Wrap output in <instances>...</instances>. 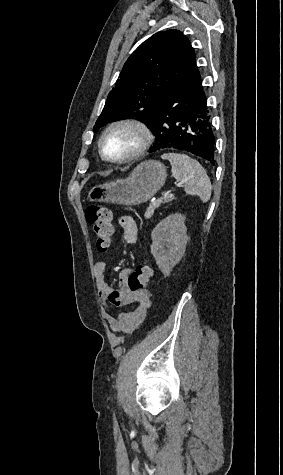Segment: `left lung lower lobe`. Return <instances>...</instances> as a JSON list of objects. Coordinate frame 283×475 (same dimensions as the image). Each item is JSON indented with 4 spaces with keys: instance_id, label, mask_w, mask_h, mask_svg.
Returning <instances> with one entry per match:
<instances>
[{
    "instance_id": "obj_1",
    "label": "left lung lower lobe",
    "mask_w": 283,
    "mask_h": 475,
    "mask_svg": "<svg viewBox=\"0 0 283 475\" xmlns=\"http://www.w3.org/2000/svg\"><path fill=\"white\" fill-rule=\"evenodd\" d=\"M148 127L156 136L149 152L175 148L214 165L215 136L198 69L170 89L157 106Z\"/></svg>"
}]
</instances>
